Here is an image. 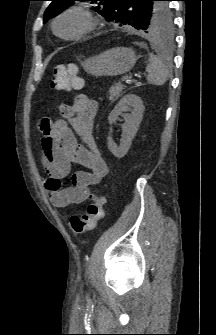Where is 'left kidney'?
Instances as JSON below:
<instances>
[{
  "instance_id": "left-kidney-1",
  "label": "left kidney",
  "mask_w": 216,
  "mask_h": 335,
  "mask_svg": "<svg viewBox=\"0 0 216 335\" xmlns=\"http://www.w3.org/2000/svg\"><path fill=\"white\" fill-rule=\"evenodd\" d=\"M131 108H133L131 114L124 113ZM144 111L145 107L141 98L135 94H127L120 99L118 104L109 114L108 121L109 124L112 125L113 123H116L119 116L124 113L123 117L125 123L122 125L123 133L120 145L117 146L111 136L107 138L108 149L115 157L122 158L127 154L143 119Z\"/></svg>"
}]
</instances>
